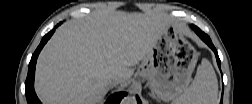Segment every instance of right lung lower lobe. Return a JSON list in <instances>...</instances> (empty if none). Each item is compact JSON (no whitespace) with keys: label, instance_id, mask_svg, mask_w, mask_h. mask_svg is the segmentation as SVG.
<instances>
[{"label":"right lung lower lobe","instance_id":"obj_1","mask_svg":"<svg viewBox=\"0 0 252 104\" xmlns=\"http://www.w3.org/2000/svg\"><path fill=\"white\" fill-rule=\"evenodd\" d=\"M54 31H55L54 29L51 30L48 34H46L42 38L40 45L38 46V48L36 49V51L32 55L31 61L29 63L28 75H27V79L25 82V94H26L28 104H41V102L39 101L38 97L36 96V93L34 90L35 65H36L37 57H38L41 49L46 44V42L50 39V37L52 36ZM125 95H127V92L115 93L108 98L106 104H109V103L119 104L121 99Z\"/></svg>","mask_w":252,"mask_h":104}]
</instances>
